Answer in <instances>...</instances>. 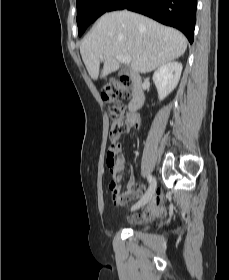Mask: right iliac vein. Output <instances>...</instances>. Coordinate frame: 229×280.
Here are the masks:
<instances>
[{
  "instance_id": "obj_1",
  "label": "right iliac vein",
  "mask_w": 229,
  "mask_h": 280,
  "mask_svg": "<svg viewBox=\"0 0 229 280\" xmlns=\"http://www.w3.org/2000/svg\"><path fill=\"white\" fill-rule=\"evenodd\" d=\"M155 189H156V181H155V179H153V181H152V183H151V185H150V187H149L148 192L145 194V196H144L141 200H139V201L132 207V209H133V210L138 209L139 207H141V206H143L144 204H146L147 201H148V199H149L150 194L153 193V192L155 191Z\"/></svg>"
}]
</instances>
